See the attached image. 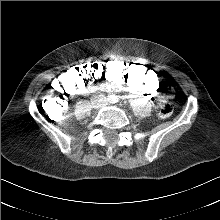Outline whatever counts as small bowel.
<instances>
[{
	"mask_svg": "<svg viewBox=\"0 0 220 220\" xmlns=\"http://www.w3.org/2000/svg\"><path fill=\"white\" fill-rule=\"evenodd\" d=\"M103 86L106 88L107 91H119V90L124 89L130 94H143V95L149 96V97H151L152 95H154L156 93V91H158V89H156L154 91H148V90H145V89H140V88L131 86L129 84H126L124 82L114 83V82H111V81H107Z\"/></svg>",
	"mask_w": 220,
	"mask_h": 220,
	"instance_id": "c3829d8e",
	"label": "small bowel"
}]
</instances>
